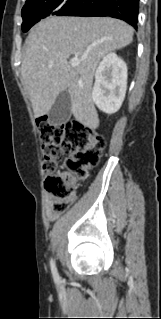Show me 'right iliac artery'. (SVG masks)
<instances>
[{"mask_svg":"<svg viewBox=\"0 0 161 319\" xmlns=\"http://www.w3.org/2000/svg\"><path fill=\"white\" fill-rule=\"evenodd\" d=\"M50 266H51V272H52L54 281L59 282V280H60L59 274L57 272V268H56V265H55V262L53 261V259H51V261H50Z\"/></svg>","mask_w":161,"mask_h":319,"instance_id":"1","label":"right iliac artery"}]
</instances>
